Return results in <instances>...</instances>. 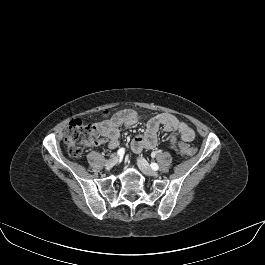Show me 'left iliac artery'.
Returning <instances> with one entry per match:
<instances>
[{
    "mask_svg": "<svg viewBox=\"0 0 265 265\" xmlns=\"http://www.w3.org/2000/svg\"><path fill=\"white\" fill-rule=\"evenodd\" d=\"M151 168L153 169V170H158V168H159V166H158V164L157 163H151Z\"/></svg>",
    "mask_w": 265,
    "mask_h": 265,
    "instance_id": "obj_1",
    "label": "left iliac artery"
}]
</instances>
